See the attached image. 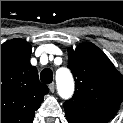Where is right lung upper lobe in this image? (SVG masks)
Segmentation results:
<instances>
[{"instance_id": "obj_1", "label": "right lung upper lobe", "mask_w": 123, "mask_h": 123, "mask_svg": "<svg viewBox=\"0 0 123 123\" xmlns=\"http://www.w3.org/2000/svg\"><path fill=\"white\" fill-rule=\"evenodd\" d=\"M31 50L19 38L1 45V123H32L48 93L30 64Z\"/></svg>"}]
</instances>
